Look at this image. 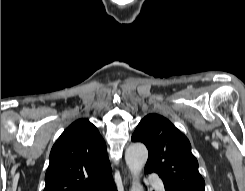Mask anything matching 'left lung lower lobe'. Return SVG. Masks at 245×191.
<instances>
[{
	"label": "left lung lower lobe",
	"instance_id": "0a47b994",
	"mask_svg": "<svg viewBox=\"0 0 245 191\" xmlns=\"http://www.w3.org/2000/svg\"><path fill=\"white\" fill-rule=\"evenodd\" d=\"M165 190H166V191H174V190H172V189H170V188H165Z\"/></svg>",
	"mask_w": 245,
	"mask_h": 191
}]
</instances>
